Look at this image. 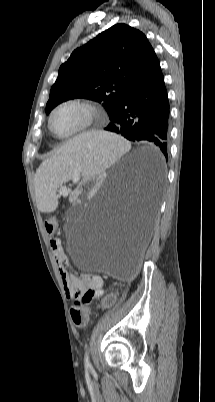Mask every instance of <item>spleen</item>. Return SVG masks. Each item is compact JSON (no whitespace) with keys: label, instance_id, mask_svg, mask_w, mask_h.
Returning <instances> with one entry per match:
<instances>
[{"label":"spleen","instance_id":"obj_1","mask_svg":"<svg viewBox=\"0 0 215 402\" xmlns=\"http://www.w3.org/2000/svg\"><path fill=\"white\" fill-rule=\"evenodd\" d=\"M130 149L123 138L104 132L83 133L68 141L51 160L44 162L38 175V208L41 211L58 210L56 188L74 174L95 175L105 171L120 155Z\"/></svg>","mask_w":215,"mask_h":402}]
</instances>
